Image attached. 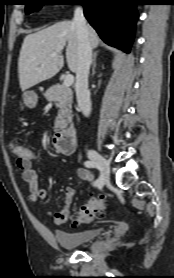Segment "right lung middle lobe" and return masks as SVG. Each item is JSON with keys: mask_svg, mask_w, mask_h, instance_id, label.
<instances>
[{"mask_svg": "<svg viewBox=\"0 0 174 278\" xmlns=\"http://www.w3.org/2000/svg\"><path fill=\"white\" fill-rule=\"evenodd\" d=\"M45 1L47 0H26L25 10L26 14H29L33 11L40 9L43 5H45ZM73 2H77V0H73Z\"/></svg>", "mask_w": 174, "mask_h": 278, "instance_id": "obj_1", "label": "right lung middle lobe"}]
</instances>
